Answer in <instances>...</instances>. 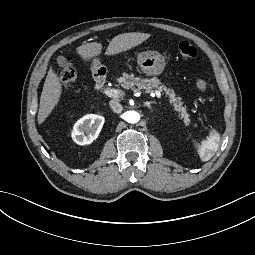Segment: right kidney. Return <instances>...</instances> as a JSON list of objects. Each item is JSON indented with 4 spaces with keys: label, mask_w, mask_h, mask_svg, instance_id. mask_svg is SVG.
I'll return each instance as SVG.
<instances>
[{
    "label": "right kidney",
    "mask_w": 255,
    "mask_h": 255,
    "mask_svg": "<svg viewBox=\"0 0 255 255\" xmlns=\"http://www.w3.org/2000/svg\"><path fill=\"white\" fill-rule=\"evenodd\" d=\"M104 122L105 118L100 115L83 116L73 126L72 139L79 145L92 143L98 137Z\"/></svg>",
    "instance_id": "ca27d5eb"
}]
</instances>
